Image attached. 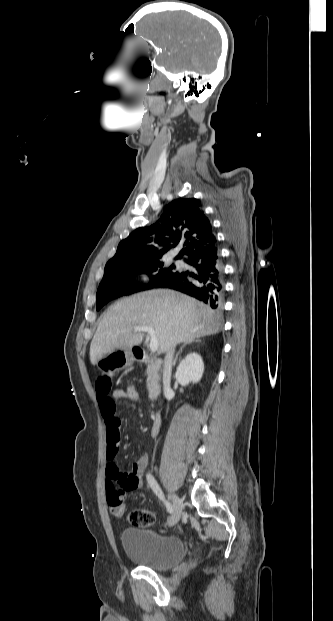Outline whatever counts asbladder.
I'll use <instances>...</instances> for the list:
<instances>
[{
    "instance_id": "obj_1",
    "label": "bladder",
    "mask_w": 333,
    "mask_h": 621,
    "mask_svg": "<svg viewBox=\"0 0 333 621\" xmlns=\"http://www.w3.org/2000/svg\"><path fill=\"white\" fill-rule=\"evenodd\" d=\"M121 542L131 562L153 570L170 568L181 562L186 555L182 539L146 527L124 529Z\"/></svg>"
}]
</instances>
